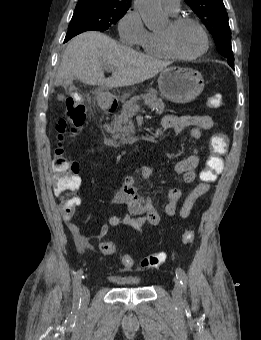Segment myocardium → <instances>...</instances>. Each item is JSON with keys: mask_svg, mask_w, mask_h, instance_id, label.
I'll return each mask as SVG.
<instances>
[{"mask_svg": "<svg viewBox=\"0 0 261 340\" xmlns=\"http://www.w3.org/2000/svg\"><path fill=\"white\" fill-rule=\"evenodd\" d=\"M170 22H171L172 27H178L185 23L194 24L202 34L203 47L200 51H198L195 54L183 55V54L178 53L174 49L171 39L168 35L159 34L161 44L169 56L174 57L179 60H183V61H193V60L200 58L208 51L209 45H210L209 36H208V33L205 27L202 25V23L199 20L193 17H189V16H177V17H174Z\"/></svg>", "mask_w": 261, "mask_h": 340, "instance_id": "obj_1", "label": "myocardium"}]
</instances>
